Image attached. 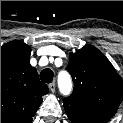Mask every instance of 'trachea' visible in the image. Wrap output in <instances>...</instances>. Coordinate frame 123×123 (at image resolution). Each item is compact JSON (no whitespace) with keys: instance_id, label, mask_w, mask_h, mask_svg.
Segmentation results:
<instances>
[{"instance_id":"trachea-1","label":"trachea","mask_w":123,"mask_h":123,"mask_svg":"<svg viewBox=\"0 0 123 123\" xmlns=\"http://www.w3.org/2000/svg\"><path fill=\"white\" fill-rule=\"evenodd\" d=\"M41 81L44 83H51L53 80V71L49 68H46L40 73Z\"/></svg>"}]
</instances>
